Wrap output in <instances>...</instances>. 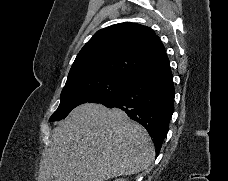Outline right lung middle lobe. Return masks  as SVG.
I'll return each instance as SVG.
<instances>
[{"instance_id":"dd1d6c3e","label":"right lung middle lobe","mask_w":228,"mask_h":181,"mask_svg":"<svg viewBox=\"0 0 228 181\" xmlns=\"http://www.w3.org/2000/svg\"><path fill=\"white\" fill-rule=\"evenodd\" d=\"M131 78L117 75L98 74L86 76L65 84L58 109L49 121L64 119L80 104L102 103L119 94Z\"/></svg>"}]
</instances>
